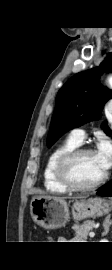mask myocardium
I'll use <instances>...</instances> for the list:
<instances>
[{
	"mask_svg": "<svg viewBox=\"0 0 112 270\" xmlns=\"http://www.w3.org/2000/svg\"><path fill=\"white\" fill-rule=\"evenodd\" d=\"M89 153H95V151L88 147H77L67 151L58 159L56 164V176L59 183L67 190L73 192L93 191L103 185L107 180V172H105L98 181L89 185H81L74 180L71 174V166L73 162L79 157Z\"/></svg>",
	"mask_w": 112,
	"mask_h": 270,
	"instance_id": "1",
	"label": "myocardium"
}]
</instances>
